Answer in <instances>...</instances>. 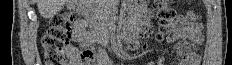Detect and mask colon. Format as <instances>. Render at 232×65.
<instances>
[{"label":"colon","instance_id":"1","mask_svg":"<svg viewBox=\"0 0 232 65\" xmlns=\"http://www.w3.org/2000/svg\"><path fill=\"white\" fill-rule=\"evenodd\" d=\"M154 7L160 25L157 39H162L164 34L171 31L176 22V14L166 0L154 1ZM77 20L78 15L75 12L59 14L51 19L50 27L42 39L45 65H66L65 47L70 39L69 30L71 24ZM177 51L181 55H186L189 52L188 44L179 43ZM81 58L84 65H92L95 54L92 50H84Z\"/></svg>","mask_w":232,"mask_h":65}]
</instances>
